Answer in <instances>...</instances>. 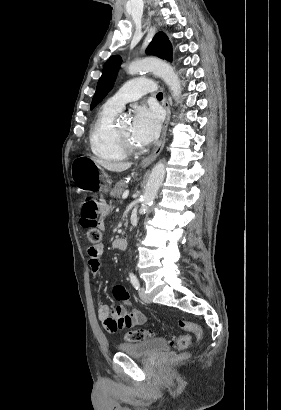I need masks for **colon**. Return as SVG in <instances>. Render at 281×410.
Wrapping results in <instances>:
<instances>
[{"instance_id": "obj_1", "label": "colon", "mask_w": 281, "mask_h": 410, "mask_svg": "<svg viewBox=\"0 0 281 410\" xmlns=\"http://www.w3.org/2000/svg\"><path fill=\"white\" fill-rule=\"evenodd\" d=\"M98 210L99 204L96 198L88 197L85 199L82 206L80 222L82 227L86 229L88 240L94 245L99 244L102 239V234L98 227ZM179 326L185 332L179 336L173 337L170 340V344L175 350L180 351L187 349L192 344L194 336L198 339H201L203 337V329L198 324H195L190 321L180 320ZM156 336L157 334L153 330L135 329L126 333L125 340L128 342L135 343L143 341L147 338H154ZM181 357L182 355H178L174 357V360L177 361Z\"/></svg>"}]
</instances>
